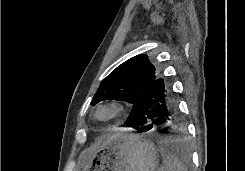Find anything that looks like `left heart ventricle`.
I'll list each match as a JSON object with an SVG mask.
<instances>
[{
	"label": "left heart ventricle",
	"instance_id": "left-heart-ventricle-1",
	"mask_svg": "<svg viewBox=\"0 0 245 171\" xmlns=\"http://www.w3.org/2000/svg\"><path fill=\"white\" fill-rule=\"evenodd\" d=\"M107 114H108V112H107V111H103V112H101V114H100V115H101L102 117H104V116H106Z\"/></svg>",
	"mask_w": 245,
	"mask_h": 171
}]
</instances>
